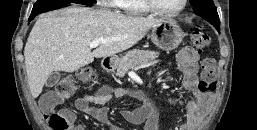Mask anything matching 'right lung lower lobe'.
Here are the masks:
<instances>
[{
    "mask_svg": "<svg viewBox=\"0 0 257 130\" xmlns=\"http://www.w3.org/2000/svg\"><path fill=\"white\" fill-rule=\"evenodd\" d=\"M32 19V17L30 16V18H29V21Z\"/></svg>",
    "mask_w": 257,
    "mask_h": 130,
    "instance_id": "1",
    "label": "right lung lower lobe"
}]
</instances>
